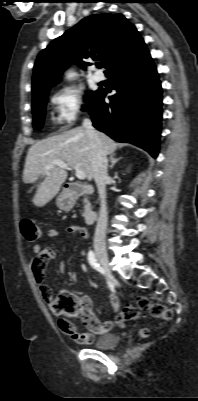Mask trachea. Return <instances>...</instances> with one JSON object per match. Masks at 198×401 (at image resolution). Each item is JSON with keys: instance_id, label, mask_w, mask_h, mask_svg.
Returning <instances> with one entry per match:
<instances>
[{"instance_id": "obj_1", "label": "trachea", "mask_w": 198, "mask_h": 401, "mask_svg": "<svg viewBox=\"0 0 198 401\" xmlns=\"http://www.w3.org/2000/svg\"><path fill=\"white\" fill-rule=\"evenodd\" d=\"M97 67H98V68H101V67H102V64H97Z\"/></svg>"}]
</instances>
